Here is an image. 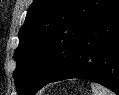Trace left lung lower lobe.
Masks as SVG:
<instances>
[{
	"instance_id": "left-lung-lower-lobe-1",
	"label": "left lung lower lobe",
	"mask_w": 119,
	"mask_h": 95,
	"mask_svg": "<svg viewBox=\"0 0 119 95\" xmlns=\"http://www.w3.org/2000/svg\"><path fill=\"white\" fill-rule=\"evenodd\" d=\"M70 78L91 80L119 95V0L85 32L70 64L48 83Z\"/></svg>"
}]
</instances>
